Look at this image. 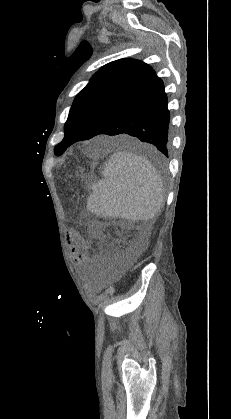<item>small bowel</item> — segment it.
I'll return each mask as SVG.
<instances>
[{"mask_svg":"<svg viewBox=\"0 0 231 419\" xmlns=\"http://www.w3.org/2000/svg\"><path fill=\"white\" fill-rule=\"evenodd\" d=\"M69 244L72 250V256L77 262H82L87 257L88 243L77 232L73 231L68 237Z\"/></svg>","mask_w":231,"mask_h":419,"instance_id":"obj_1","label":"small bowel"}]
</instances>
